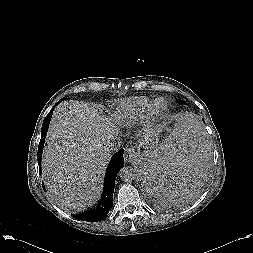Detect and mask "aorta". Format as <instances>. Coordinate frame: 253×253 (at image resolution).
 Wrapping results in <instances>:
<instances>
[{"mask_svg": "<svg viewBox=\"0 0 253 253\" xmlns=\"http://www.w3.org/2000/svg\"><path fill=\"white\" fill-rule=\"evenodd\" d=\"M119 177L124 182H130L136 178V174L132 167L124 166L119 171Z\"/></svg>", "mask_w": 253, "mask_h": 253, "instance_id": "1", "label": "aorta"}]
</instances>
